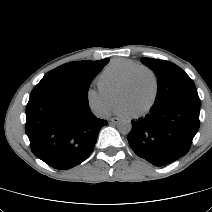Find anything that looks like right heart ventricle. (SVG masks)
<instances>
[{
  "label": "right heart ventricle",
  "instance_id": "right-heart-ventricle-1",
  "mask_svg": "<svg viewBox=\"0 0 212 212\" xmlns=\"http://www.w3.org/2000/svg\"><path fill=\"white\" fill-rule=\"evenodd\" d=\"M139 66L133 60L115 59L101 72L98 84L103 90L116 94L130 73Z\"/></svg>",
  "mask_w": 212,
  "mask_h": 212
}]
</instances>
